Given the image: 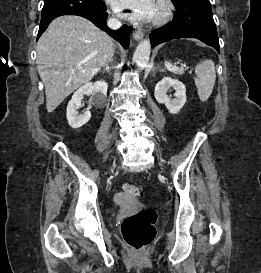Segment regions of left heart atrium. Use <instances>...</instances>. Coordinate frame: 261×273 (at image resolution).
Segmentation results:
<instances>
[{"label": "left heart atrium", "mask_w": 261, "mask_h": 273, "mask_svg": "<svg viewBox=\"0 0 261 273\" xmlns=\"http://www.w3.org/2000/svg\"><path fill=\"white\" fill-rule=\"evenodd\" d=\"M110 3L117 11L139 21L152 19L157 9L155 0H110Z\"/></svg>", "instance_id": "39dd6f15"}]
</instances>
